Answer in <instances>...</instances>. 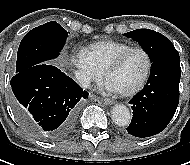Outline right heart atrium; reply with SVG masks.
Listing matches in <instances>:
<instances>
[{
  "instance_id": "1",
  "label": "right heart atrium",
  "mask_w": 190,
  "mask_h": 165,
  "mask_svg": "<svg viewBox=\"0 0 190 165\" xmlns=\"http://www.w3.org/2000/svg\"><path fill=\"white\" fill-rule=\"evenodd\" d=\"M69 62L74 69L77 80L84 87L99 82L103 77V72L96 66L86 48H76L70 55Z\"/></svg>"
}]
</instances>
